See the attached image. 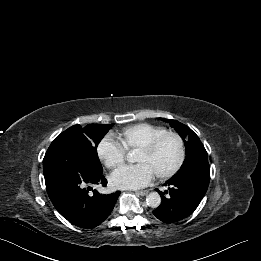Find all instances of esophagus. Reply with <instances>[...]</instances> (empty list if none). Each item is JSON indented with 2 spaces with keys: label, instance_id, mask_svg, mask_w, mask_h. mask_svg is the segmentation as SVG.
<instances>
[{
  "label": "esophagus",
  "instance_id": "1",
  "mask_svg": "<svg viewBox=\"0 0 261 261\" xmlns=\"http://www.w3.org/2000/svg\"><path fill=\"white\" fill-rule=\"evenodd\" d=\"M149 193V190H142V191H137L136 194L140 196H145Z\"/></svg>",
  "mask_w": 261,
  "mask_h": 261
}]
</instances>
